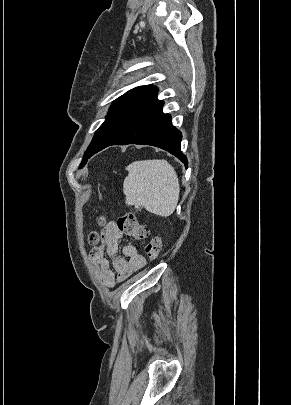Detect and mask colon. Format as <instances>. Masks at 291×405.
<instances>
[{
  "instance_id": "5ec220e1",
  "label": "colon",
  "mask_w": 291,
  "mask_h": 405,
  "mask_svg": "<svg viewBox=\"0 0 291 405\" xmlns=\"http://www.w3.org/2000/svg\"><path fill=\"white\" fill-rule=\"evenodd\" d=\"M116 225L122 233L137 240H144L149 236L148 228L141 224L135 214L131 211L123 213L118 218ZM88 241L91 245H97L100 241L99 234L97 232H91L88 236ZM161 247L162 243L160 238H151L144 248L147 259L151 262L155 261L160 254Z\"/></svg>"
}]
</instances>
